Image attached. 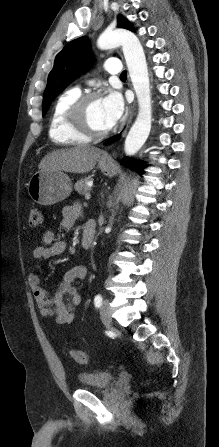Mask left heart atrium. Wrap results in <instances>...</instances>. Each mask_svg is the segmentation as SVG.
<instances>
[{"label":"left heart atrium","mask_w":219,"mask_h":447,"mask_svg":"<svg viewBox=\"0 0 219 447\" xmlns=\"http://www.w3.org/2000/svg\"><path fill=\"white\" fill-rule=\"evenodd\" d=\"M106 123L109 128L115 126L124 114L125 105L120 94L110 92L102 100Z\"/></svg>","instance_id":"left-heart-atrium-1"}]
</instances>
